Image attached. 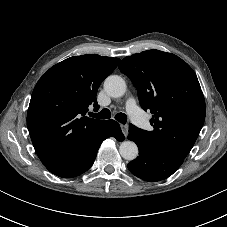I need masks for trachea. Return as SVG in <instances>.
<instances>
[{"instance_id":"trachea-1","label":"trachea","mask_w":227,"mask_h":227,"mask_svg":"<svg viewBox=\"0 0 227 227\" xmlns=\"http://www.w3.org/2000/svg\"><path fill=\"white\" fill-rule=\"evenodd\" d=\"M90 116L97 118V119H109V118H111V112L109 109L105 108L97 114L91 113ZM115 119L122 124H126V122H127V116L124 113L116 114Z\"/></svg>"}]
</instances>
